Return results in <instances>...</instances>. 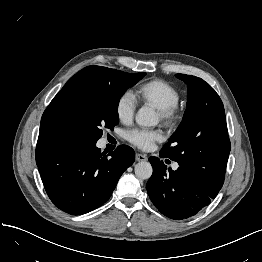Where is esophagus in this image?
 I'll use <instances>...</instances> for the list:
<instances>
[{"label": "esophagus", "mask_w": 262, "mask_h": 262, "mask_svg": "<svg viewBox=\"0 0 262 262\" xmlns=\"http://www.w3.org/2000/svg\"><path fill=\"white\" fill-rule=\"evenodd\" d=\"M135 159H136V161H146L147 160V156L146 155H144V154H136V156H135Z\"/></svg>", "instance_id": "34e87169"}]
</instances>
